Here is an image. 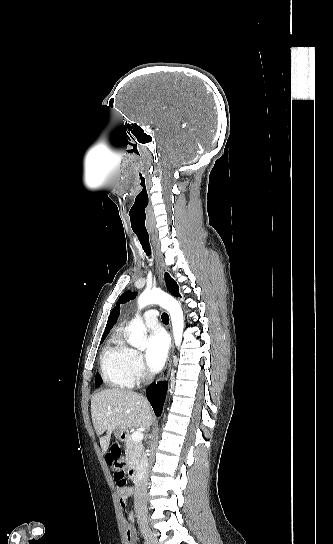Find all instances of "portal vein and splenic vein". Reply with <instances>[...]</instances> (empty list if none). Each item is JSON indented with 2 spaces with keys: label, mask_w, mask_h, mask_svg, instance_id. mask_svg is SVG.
Listing matches in <instances>:
<instances>
[{
  "label": "portal vein and splenic vein",
  "mask_w": 333,
  "mask_h": 544,
  "mask_svg": "<svg viewBox=\"0 0 333 544\" xmlns=\"http://www.w3.org/2000/svg\"><path fill=\"white\" fill-rule=\"evenodd\" d=\"M131 438L134 440V441H141L143 439V433L141 431H135L132 433L131 435Z\"/></svg>",
  "instance_id": "1"
}]
</instances>
